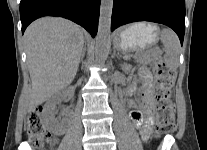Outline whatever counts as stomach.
Here are the masks:
<instances>
[{
    "label": "stomach",
    "mask_w": 207,
    "mask_h": 150,
    "mask_svg": "<svg viewBox=\"0 0 207 150\" xmlns=\"http://www.w3.org/2000/svg\"><path fill=\"white\" fill-rule=\"evenodd\" d=\"M158 27L153 23H135L115 37V47L122 52H143L157 40Z\"/></svg>",
    "instance_id": "stomach-1"
}]
</instances>
